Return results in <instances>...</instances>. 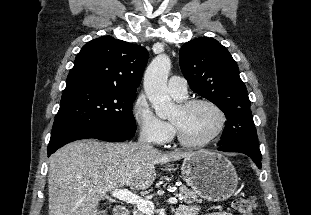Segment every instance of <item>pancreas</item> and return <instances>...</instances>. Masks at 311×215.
Listing matches in <instances>:
<instances>
[{"label": "pancreas", "instance_id": "pancreas-1", "mask_svg": "<svg viewBox=\"0 0 311 215\" xmlns=\"http://www.w3.org/2000/svg\"><path fill=\"white\" fill-rule=\"evenodd\" d=\"M180 196L182 197V202H186L188 204H192L194 202L201 203V200H198L197 194L186 186H180L179 188ZM145 213L141 212L140 210H136L133 215H144Z\"/></svg>", "mask_w": 311, "mask_h": 215}]
</instances>
